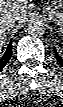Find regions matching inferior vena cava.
<instances>
[{"instance_id":"inferior-vena-cava-1","label":"inferior vena cava","mask_w":63,"mask_h":107,"mask_svg":"<svg viewBox=\"0 0 63 107\" xmlns=\"http://www.w3.org/2000/svg\"><path fill=\"white\" fill-rule=\"evenodd\" d=\"M17 18L14 15H7L0 17V27L5 30H9L14 27Z\"/></svg>"}]
</instances>
